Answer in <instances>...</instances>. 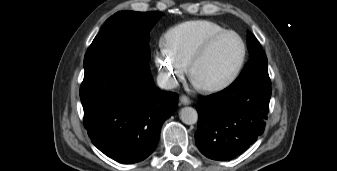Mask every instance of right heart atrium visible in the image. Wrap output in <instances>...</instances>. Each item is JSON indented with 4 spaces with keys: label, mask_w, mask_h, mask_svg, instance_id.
Listing matches in <instances>:
<instances>
[{
    "label": "right heart atrium",
    "mask_w": 337,
    "mask_h": 171,
    "mask_svg": "<svg viewBox=\"0 0 337 171\" xmlns=\"http://www.w3.org/2000/svg\"><path fill=\"white\" fill-rule=\"evenodd\" d=\"M156 63L163 79L171 86L185 75L187 68L172 56L165 44H159L156 52Z\"/></svg>",
    "instance_id": "obj_1"
}]
</instances>
